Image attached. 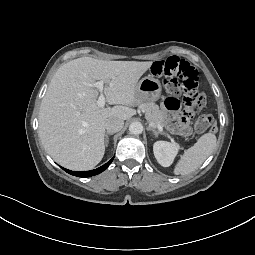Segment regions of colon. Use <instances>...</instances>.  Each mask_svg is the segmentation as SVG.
<instances>
[{"instance_id":"obj_1","label":"colon","mask_w":255,"mask_h":255,"mask_svg":"<svg viewBox=\"0 0 255 255\" xmlns=\"http://www.w3.org/2000/svg\"><path fill=\"white\" fill-rule=\"evenodd\" d=\"M155 76L164 77L166 91L174 96L182 95L184 101V117H190L194 111L200 110L205 102V93L199 88L196 69L187 61L172 56L152 65ZM214 128V117L203 113L195 121L198 133Z\"/></svg>"}]
</instances>
